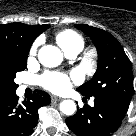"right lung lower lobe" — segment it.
Returning <instances> with one entry per match:
<instances>
[{"label": "right lung lower lobe", "instance_id": "right-lung-lower-lobe-1", "mask_svg": "<svg viewBox=\"0 0 136 136\" xmlns=\"http://www.w3.org/2000/svg\"><path fill=\"white\" fill-rule=\"evenodd\" d=\"M50 103V96L36 90L27 101L18 102L16 93L0 96V136H28L38 122L37 111Z\"/></svg>", "mask_w": 136, "mask_h": 136}]
</instances>
